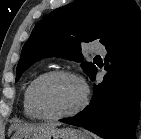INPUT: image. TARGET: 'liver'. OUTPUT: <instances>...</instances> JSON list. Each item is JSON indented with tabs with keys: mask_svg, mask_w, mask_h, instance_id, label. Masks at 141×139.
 I'll return each mask as SVG.
<instances>
[{
	"mask_svg": "<svg viewBox=\"0 0 141 139\" xmlns=\"http://www.w3.org/2000/svg\"><path fill=\"white\" fill-rule=\"evenodd\" d=\"M60 125V123H41V124H17L12 126L10 129V132L13 130L17 131V134H23L27 133L36 129H41V128H50V127H56Z\"/></svg>",
	"mask_w": 141,
	"mask_h": 139,
	"instance_id": "6515ba94",
	"label": "liver"
}]
</instances>
